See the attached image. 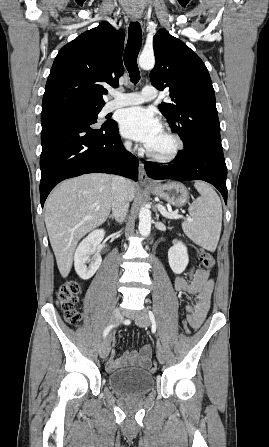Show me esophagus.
<instances>
[{
    "label": "esophagus",
    "mask_w": 269,
    "mask_h": 447,
    "mask_svg": "<svg viewBox=\"0 0 269 447\" xmlns=\"http://www.w3.org/2000/svg\"><path fill=\"white\" fill-rule=\"evenodd\" d=\"M139 17H135L133 20H138ZM139 183H153V181L147 176L144 164L142 162H139Z\"/></svg>",
    "instance_id": "34e87169"
}]
</instances>
